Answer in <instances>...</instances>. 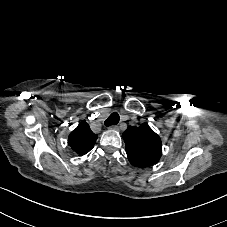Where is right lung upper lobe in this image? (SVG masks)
Instances as JSON below:
<instances>
[{"instance_id": "obj_1", "label": "right lung upper lobe", "mask_w": 227, "mask_h": 227, "mask_svg": "<svg viewBox=\"0 0 227 227\" xmlns=\"http://www.w3.org/2000/svg\"><path fill=\"white\" fill-rule=\"evenodd\" d=\"M97 137L98 136L91 131L89 125L85 121H82L78 127L70 133L68 145L78 155L82 156L94 147Z\"/></svg>"}]
</instances>
